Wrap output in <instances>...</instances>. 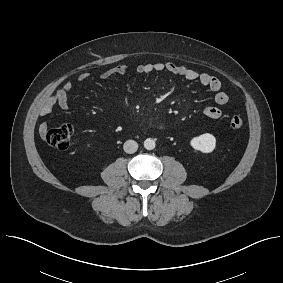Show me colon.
Here are the masks:
<instances>
[{
    "mask_svg": "<svg viewBox=\"0 0 283 283\" xmlns=\"http://www.w3.org/2000/svg\"><path fill=\"white\" fill-rule=\"evenodd\" d=\"M244 124L240 116H233L230 119V126L233 129H240ZM73 135V127L70 124H62L49 130L46 134L47 143L59 150H65L69 147Z\"/></svg>",
    "mask_w": 283,
    "mask_h": 283,
    "instance_id": "colon-1",
    "label": "colon"
}]
</instances>
